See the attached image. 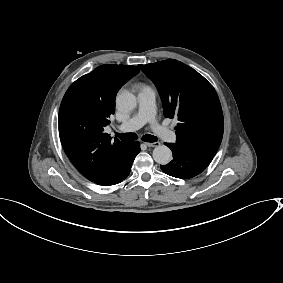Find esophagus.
Masks as SVG:
<instances>
[{
  "mask_svg": "<svg viewBox=\"0 0 283 283\" xmlns=\"http://www.w3.org/2000/svg\"><path fill=\"white\" fill-rule=\"evenodd\" d=\"M145 144L148 147H157L160 145V142H146Z\"/></svg>",
  "mask_w": 283,
  "mask_h": 283,
  "instance_id": "34e87169",
  "label": "esophagus"
}]
</instances>
